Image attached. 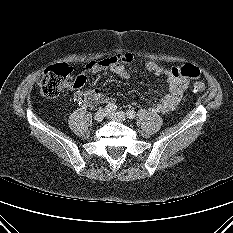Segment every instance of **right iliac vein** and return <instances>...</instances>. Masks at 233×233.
Wrapping results in <instances>:
<instances>
[{"mask_svg":"<svg viewBox=\"0 0 233 233\" xmlns=\"http://www.w3.org/2000/svg\"><path fill=\"white\" fill-rule=\"evenodd\" d=\"M106 110L104 109H99L95 114H94V120L97 122H101L105 116H106Z\"/></svg>","mask_w":233,"mask_h":233,"instance_id":"right-iliac-vein-1","label":"right iliac vein"}]
</instances>
